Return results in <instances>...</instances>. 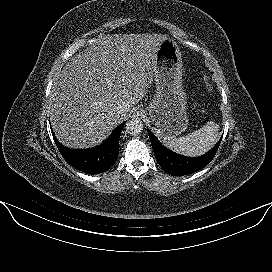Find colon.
<instances>
[{"label":"colon","instance_id":"5ec220e1","mask_svg":"<svg viewBox=\"0 0 272 272\" xmlns=\"http://www.w3.org/2000/svg\"><path fill=\"white\" fill-rule=\"evenodd\" d=\"M206 89H207L208 92H210L212 90V86L208 82L206 83Z\"/></svg>","mask_w":272,"mask_h":272}]
</instances>
